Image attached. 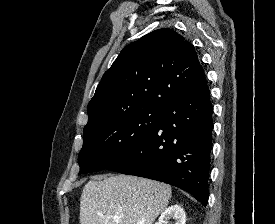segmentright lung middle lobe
Masks as SVG:
<instances>
[{
  "label": "right lung middle lobe",
  "mask_w": 275,
  "mask_h": 224,
  "mask_svg": "<svg viewBox=\"0 0 275 224\" xmlns=\"http://www.w3.org/2000/svg\"><path fill=\"white\" fill-rule=\"evenodd\" d=\"M164 109L144 108L117 115L84 129L80 174L108 169L146 139Z\"/></svg>",
  "instance_id": "obj_1"
}]
</instances>
